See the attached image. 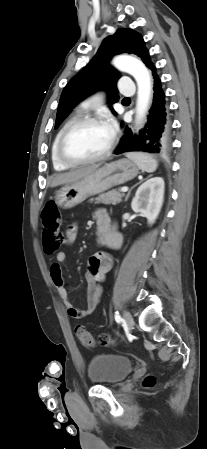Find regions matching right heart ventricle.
Returning <instances> with one entry per match:
<instances>
[{
  "mask_svg": "<svg viewBox=\"0 0 207 449\" xmlns=\"http://www.w3.org/2000/svg\"><path fill=\"white\" fill-rule=\"evenodd\" d=\"M74 119H75V117L69 119L68 121H66V122L63 124V126H62V127L60 128V130L57 132V134H56V136H55V138H54V140H53L52 146H51V160H52V165H53L54 169L57 170V171H62V170H66V169L69 168V166L63 164V163L59 160L58 155H57V144H58L59 137H60L62 131L64 130V128H65V127H66L72 120H74Z\"/></svg>",
  "mask_w": 207,
  "mask_h": 449,
  "instance_id": "obj_1",
  "label": "right heart ventricle"
}]
</instances>
